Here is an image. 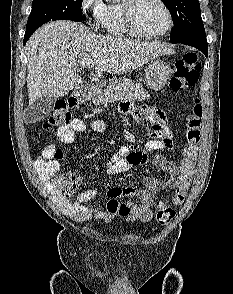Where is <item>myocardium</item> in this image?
Listing matches in <instances>:
<instances>
[{
	"instance_id": "myocardium-1",
	"label": "myocardium",
	"mask_w": 233,
	"mask_h": 294,
	"mask_svg": "<svg viewBox=\"0 0 233 294\" xmlns=\"http://www.w3.org/2000/svg\"><path fill=\"white\" fill-rule=\"evenodd\" d=\"M141 0H125L124 3V18H125V22L127 25V28L129 29V31L137 37L140 38H144V39H157L160 37L165 36L166 34H168L174 25V19H173V14L171 12V9L169 8V6L167 5V3L164 0H156L164 9V11L166 12L167 18H168V25L167 27L156 34H148L143 32L137 25L136 22V17H135V11H136V7L138 5V3Z\"/></svg>"
}]
</instances>
